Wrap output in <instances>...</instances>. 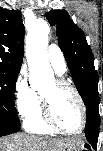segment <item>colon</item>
Masks as SVG:
<instances>
[{"label": "colon", "instance_id": "1", "mask_svg": "<svg viewBox=\"0 0 103 151\" xmlns=\"http://www.w3.org/2000/svg\"><path fill=\"white\" fill-rule=\"evenodd\" d=\"M83 151H89V149L88 148H84V150Z\"/></svg>", "mask_w": 103, "mask_h": 151}]
</instances>
